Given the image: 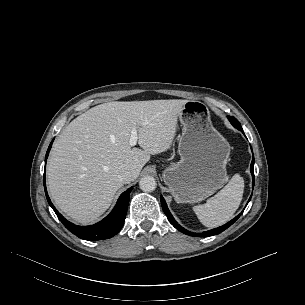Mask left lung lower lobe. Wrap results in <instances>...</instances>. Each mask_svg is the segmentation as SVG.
<instances>
[{
	"instance_id": "obj_1",
	"label": "left lung lower lobe",
	"mask_w": 305,
	"mask_h": 305,
	"mask_svg": "<svg viewBox=\"0 0 305 305\" xmlns=\"http://www.w3.org/2000/svg\"><path fill=\"white\" fill-rule=\"evenodd\" d=\"M243 132V130H241ZM250 171H251V174H252V177H253V187H254V158L251 162V167H250ZM252 196V195H251ZM251 197L249 198V201H250ZM248 201V202H249ZM247 202V204H248ZM161 204H162V208H163V211L164 213L166 214L168 220L171 222V224L176 228L178 229L179 231L183 232L184 234H187V235H190V236H200V237H208V236H212V235H216V234H219L221 233L222 231L226 230L229 226H231L240 216L241 214L243 213V211L238 215L236 216L234 219H232L231 221H229L228 223H226L225 225L221 226V227H218V228H215V229H212V230H209V231H206V232H203L202 234H198V235H195L194 233L184 229L183 227H181L173 218V216L171 215L170 211L168 210L167 208V205H166V202L164 200V198L161 196Z\"/></svg>"
}]
</instances>
